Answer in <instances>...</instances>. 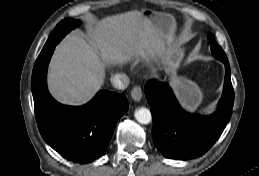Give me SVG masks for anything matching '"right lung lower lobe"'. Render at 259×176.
Here are the masks:
<instances>
[{"mask_svg": "<svg viewBox=\"0 0 259 176\" xmlns=\"http://www.w3.org/2000/svg\"><path fill=\"white\" fill-rule=\"evenodd\" d=\"M56 45L42 49L32 72L38 128L47 144L61 156L73 162L89 163L106 151L116 123L128 110V101L124 94L100 91L83 106L56 102L46 83L48 63Z\"/></svg>", "mask_w": 259, "mask_h": 176, "instance_id": "right-lung-lower-lobe-1", "label": "right lung lower lobe"}]
</instances>
